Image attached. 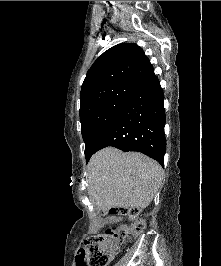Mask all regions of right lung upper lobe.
Returning <instances> with one entry per match:
<instances>
[{"label":"right lung upper lobe","instance_id":"right-lung-upper-lobe-1","mask_svg":"<svg viewBox=\"0 0 221 266\" xmlns=\"http://www.w3.org/2000/svg\"><path fill=\"white\" fill-rule=\"evenodd\" d=\"M153 76L154 69L137 44H118L99 56L88 70L81 88V99L102 88L119 85L140 87Z\"/></svg>","mask_w":221,"mask_h":266}]
</instances>
